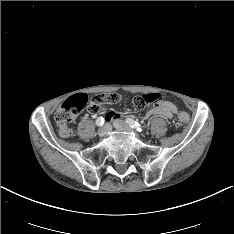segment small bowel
<instances>
[{
    "label": "small bowel",
    "instance_id": "obj_1",
    "mask_svg": "<svg viewBox=\"0 0 234 234\" xmlns=\"http://www.w3.org/2000/svg\"><path fill=\"white\" fill-rule=\"evenodd\" d=\"M121 96L118 94H103L93 97L89 102L87 109L89 113L96 115L100 113L105 119L111 120L120 117L116 111H110L106 103L120 102ZM133 104L139 110L151 109L146 113V117L162 116L166 119H172L177 113V107L170 101H167L165 94L155 92L153 94H142L135 97Z\"/></svg>",
    "mask_w": 234,
    "mask_h": 234
}]
</instances>
